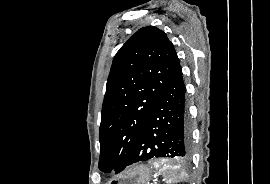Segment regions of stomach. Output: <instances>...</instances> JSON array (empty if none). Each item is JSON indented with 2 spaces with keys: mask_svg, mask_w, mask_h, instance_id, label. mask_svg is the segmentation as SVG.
Here are the masks:
<instances>
[{
  "mask_svg": "<svg viewBox=\"0 0 270 184\" xmlns=\"http://www.w3.org/2000/svg\"><path fill=\"white\" fill-rule=\"evenodd\" d=\"M152 176L149 167L139 165L111 179L107 184H149Z\"/></svg>",
  "mask_w": 270,
  "mask_h": 184,
  "instance_id": "0dacf381",
  "label": "stomach"
}]
</instances>
